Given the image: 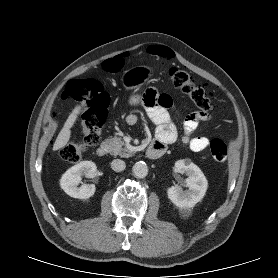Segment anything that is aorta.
Instances as JSON below:
<instances>
[{
    "mask_svg": "<svg viewBox=\"0 0 278 278\" xmlns=\"http://www.w3.org/2000/svg\"><path fill=\"white\" fill-rule=\"evenodd\" d=\"M132 170L134 175L138 178H144L148 174V166L143 161L136 162Z\"/></svg>",
    "mask_w": 278,
    "mask_h": 278,
    "instance_id": "obj_1",
    "label": "aorta"
}]
</instances>
